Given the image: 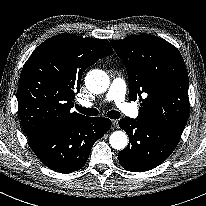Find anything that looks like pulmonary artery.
Listing matches in <instances>:
<instances>
[{
  "instance_id": "1",
  "label": "pulmonary artery",
  "mask_w": 206,
  "mask_h": 206,
  "mask_svg": "<svg viewBox=\"0 0 206 206\" xmlns=\"http://www.w3.org/2000/svg\"><path fill=\"white\" fill-rule=\"evenodd\" d=\"M125 94H126V85L125 82L121 78H115L106 94L107 101H113L125 114L136 117L138 111L131 104L125 102ZM81 105L83 107H92L94 103L91 102H82Z\"/></svg>"
}]
</instances>
